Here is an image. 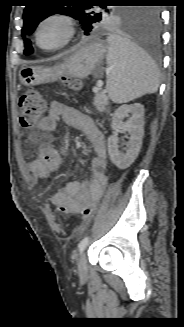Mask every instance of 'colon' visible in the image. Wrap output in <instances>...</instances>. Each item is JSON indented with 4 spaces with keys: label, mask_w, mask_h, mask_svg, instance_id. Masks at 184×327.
I'll use <instances>...</instances> for the list:
<instances>
[{
    "label": "colon",
    "mask_w": 184,
    "mask_h": 327,
    "mask_svg": "<svg viewBox=\"0 0 184 327\" xmlns=\"http://www.w3.org/2000/svg\"><path fill=\"white\" fill-rule=\"evenodd\" d=\"M67 86L71 89H79L81 84L76 80H66ZM20 124L25 127H31L36 124L43 116L46 110V101L36 90H28L22 94L19 99ZM58 212L68 213L64 205H55ZM96 211V204H88L81 208L79 214L82 217H90Z\"/></svg>",
    "instance_id": "obj_1"
}]
</instances>
